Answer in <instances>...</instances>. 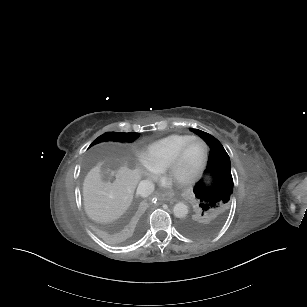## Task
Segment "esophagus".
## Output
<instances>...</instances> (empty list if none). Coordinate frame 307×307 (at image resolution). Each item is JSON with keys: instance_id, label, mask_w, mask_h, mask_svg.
<instances>
[{"instance_id": "34e87169", "label": "esophagus", "mask_w": 307, "mask_h": 307, "mask_svg": "<svg viewBox=\"0 0 307 307\" xmlns=\"http://www.w3.org/2000/svg\"><path fill=\"white\" fill-rule=\"evenodd\" d=\"M156 198H157L158 201H160V202L170 201V200H171V196L164 195L163 193L157 194V195H156Z\"/></svg>"}]
</instances>
